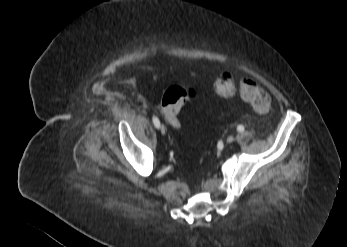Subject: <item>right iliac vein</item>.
Segmentation results:
<instances>
[{
  "instance_id": "obj_1",
  "label": "right iliac vein",
  "mask_w": 347,
  "mask_h": 247,
  "mask_svg": "<svg viewBox=\"0 0 347 247\" xmlns=\"http://www.w3.org/2000/svg\"><path fill=\"white\" fill-rule=\"evenodd\" d=\"M160 131L162 134H165L166 133V128L164 125H160Z\"/></svg>"
}]
</instances>
